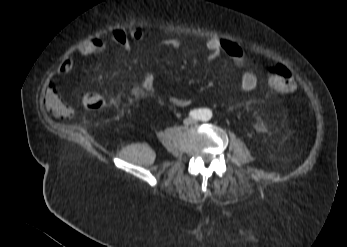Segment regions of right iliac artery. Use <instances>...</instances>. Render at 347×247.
Listing matches in <instances>:
<instances>
[{"mask_svg":"<svg viewBox=\"0 0 347 247\" xmlns=\"http://www.w3.org/2000/svg\"><path fill=\"white\" fill-rule=\"evenodd\" d=\"M203 112L201 110H192L190 111L189 115L193 118V119H201Z\"/></svg>","mask_w":347,"mask_h":247,"instance_id":"82829eb1","label":"right iliac artery"}]
</instances>
